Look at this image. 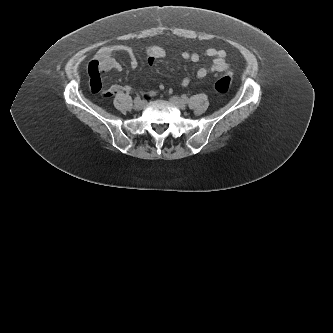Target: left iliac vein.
<instances>
[{
  "mask_svg": "<svg viewBox=\"0 0 333 333\" xmlns=\"http://www.w3.org/2000/svg\"><path fill=\"white\" fill-rule=\"evenodd\" d=\"M170 103L176 106L177 108L184 110L186 108L185 102L177 96H172L169 99Z\"/></svg>",
  "mask_w": 333,
  "mask_h": 333,
  "instance_id": "4c4485c4",
  "label": "left iliac vein"
}]
</instances>
